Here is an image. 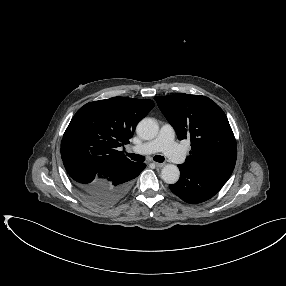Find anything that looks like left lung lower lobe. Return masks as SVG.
<instances>
[{
	"label": "left lung lower lobe",
	"instance_id": "obj_1",
	"mask_svg": "<svg viewBox=\"0 0 286 286\" xmlns=\"http://www.w3.org/2000/svg\"><path fill=\"white\" fill-rule=\"evenodd\" d=\"M180 180L169 186L170 190L187 203H200L213 197L225 184L224 181L191 169L182 164Z\"/></svg>",
	"mask_w": 286,
	"mask_h": 286
}]
</instances>
